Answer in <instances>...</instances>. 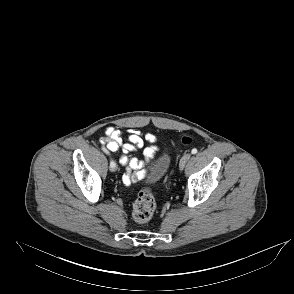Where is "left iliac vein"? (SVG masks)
<instances>
[{"mask_svg": "<svg viewBox=\"0 0 294 294\" xmlns=\"http://www.w3.org/2000/svg\"><path fill=\"white\" fill-rule=\"evenodd\" d=\"M191 158V154L190 153H186L183 155V157L181 158L180 160V163H179V168L180 170H183L186 163L188 162V160Z\"/></svg>", "mask_w": 294, "mask_h": 294, "instance_id": "obj_1", "label": "left iliac vein"}]
</instances>
